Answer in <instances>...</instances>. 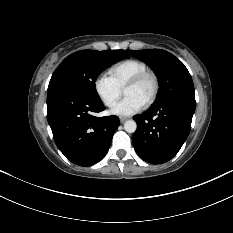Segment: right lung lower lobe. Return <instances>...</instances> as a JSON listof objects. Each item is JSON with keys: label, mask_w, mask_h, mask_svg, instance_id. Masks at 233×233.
Segmentation results:
<instances>
[{"label": "right lung lower lobe", "mask_w": 233, "mask_h": 233, "mask_svg": "<svg viewBox=\"0 0 233 233\" xmlns=\"http://www.w3.org/2000/svg\"><path fill=\"white\" fill-rule=\"evenodd\" d=\"M103 110L102 101L68 92L47 94V119L54 141L72 163L91 166L108 152L119 119L92 115Z\"/></svg>", "instance_id": "obj_1"}]
</instances>
